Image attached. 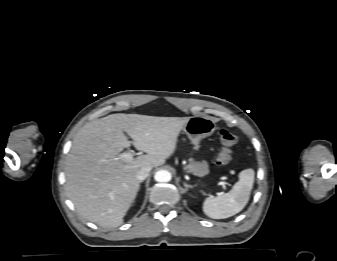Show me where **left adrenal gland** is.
I'll return each instance as SVG.
<instances>
[{"label": "left adrenal gland", "mask_w": 337, "mask_h": 261, "mask_svg": "<svg viewBox=\"0 0 337 261\" xmlns=\"http://www.w3.org/2000/svg\"><path fill=\"white\" fill-rule=\"evenodd\" d=\"M184 186H185V192H186L190 186L187 185L186 183H184Z\"/></svg>", "instance_id": "obj_1"}]
</instances>
